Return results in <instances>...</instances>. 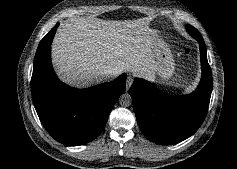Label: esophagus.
Returning <instances> with one entry per match:
<instances>
[{
  "label": "esophagus",
  "instance_id": "1",
  "mask_svg": "<svg viewBox=\"0 0 237 169\" xmlns=\"http://www.w3.org/2000/svg\"><path fill=\"white\" fill-rule=\"evenodd\" d=\"M133 83V78L132 77H127V86H126V89L129 90V88L131 87Z\"/></svg>",
  "mask_w": 237,
  "mask_h": 169
}]
</instances>
